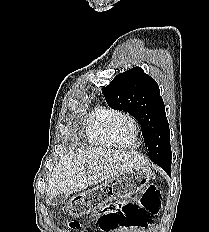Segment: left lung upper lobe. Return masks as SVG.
Segmentation results:
<instances>
[{"label": "left lung upper lobe", "instance_id": "5c2ea615", "mask_svg": "<svg viewBox=\"0 0 209 232\" xmlns=\"http://www.w3.org/2000/svg\"><path fill=\"white\" fill-rule=\"evenodd\" d=\"M102 92L110 107L128 112L140 122L150 159L170 174V130L156 81L134 67L118 74Z\"/></svg>", "mask_w": 209, "mask_h": 232}]
</instances>
